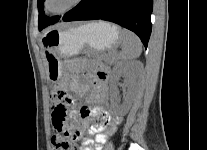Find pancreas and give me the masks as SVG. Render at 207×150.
<instances>
[{"mask_svg": "<svg viewBox=\"0 0 207 150\" xmlns=\"http://www.w3.org/2000/svg\"><path fill=\"white\" fill-rule=\"evenodd\" d=\"M99 59L103 60L104 62H106L110 65H113L117 60V56H116L115 52L110 51L108 53L100 54Z\"/></svg>", "mask_w": 207, "mask_h": 150, "instance_id": "pancreas-1", "label": "pancreas"}]
</instances>
